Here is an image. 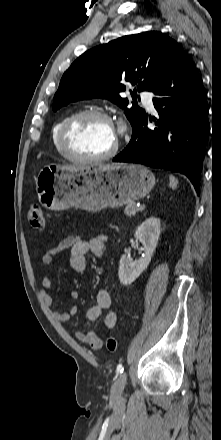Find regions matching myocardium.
I'll use <instances>...</instances> for the list:
<instances>
[{"instance_id": "myocardium-1", "label": "myocardium", "mask_w": 221, "mask_h": 440, "mask_svg": "<svg viewBox=\"0 0 221 440\" xmlns=\"http://www.w3.org/2000/svg\"><path fill=\"white\" fill-rule=\"evenodd\" d=\"M87 117H99L107 122H109L112 127L115 130L113 120L111 116L99 109H86L79 111L70 117H68L64 123L62 124L60 131H59V146L63 154L70 160L75 162H101L108 160L112 158L118 151L119 148V136L117 135L116 131V139L115 143L112 146L110 150H108L106 153L98 156H84L76 153L69 145L68 139L71 129L74 127V125L80 121L81 119L87 118Z\"/></svg>"}]
</instances>
